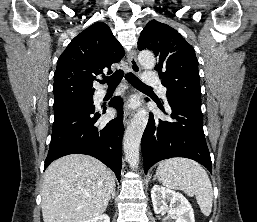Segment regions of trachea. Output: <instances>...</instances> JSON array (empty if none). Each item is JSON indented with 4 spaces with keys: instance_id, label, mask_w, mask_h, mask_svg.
Segmentation results:
<instances>
[{
    "instance_id": "1",
    "label": "trachea",
    "mask_w": 257,
    "mask_h": 222,
    "mask_svg": "<svg viewBox=\"0 0 257 222\" xmlns=\"http://www.w3.org/2000/svg\"><path fill=\"white\" fill-rule=\"evenodd\" d=\"M124 76L123 70H117L114 74L109 77H104L100 80V83H107L109 88L116 87ZM126 80L135 88H146L151 89V87L142 83L133 73L129 72L125 74Z\"/></svg>"
}]
</instances>
